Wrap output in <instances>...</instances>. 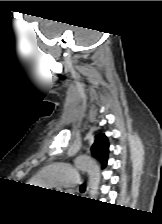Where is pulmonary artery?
I'll return each instance as SVG.
<instances>
[{"instance_id":"1","label":"pulmonary artery","mask_w":162,"mask_h":224,"mask_svg":"<svg viewBox=\"0 0 162 224\" xmlns=\"http://www.w3.org/2000/svg\"><path fill=\"white\" fill-rule=\"evenodd\" d=\"M39 178L49 186L79 187L81 184L78 170L69 164L47 167L42 171Z\"/></svg>"}]
</instances>
